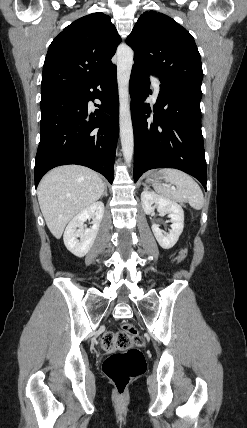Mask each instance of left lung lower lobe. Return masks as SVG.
<instances>
[{
    "label": "left lung lower lobe",
    "instance_id": "1",
    "mask_svg": "<svg viewBox=\"0 0 247 428\" xmlns=\"http://www.w3.org/2000/svg\"><path fill=\"white\" fill-rule=\"evenodd\" d=\"M149 70L133 65L129 91L134 130V181L149 169L176 168L197 178L206 190L207 167L201 132V95L160 84L153 107L142 101Z\"/></svg>",
    "mask_w": 247,
    "mask_h": 428
}]
</instances>
